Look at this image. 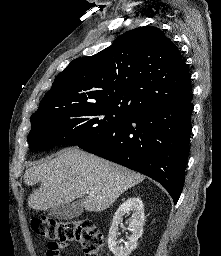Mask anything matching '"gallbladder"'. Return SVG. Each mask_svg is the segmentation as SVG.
Here are the masks:
<instances>
[{"mask_svg":"<svg viewBox=\"0 0 221 256\" xmlns=\"http://www.w3.org/2000/svg\"><path fill=\"white\" fill-rule=\"evenodd\" d=\"M83 212L81 200H76L68 204H60L49 210V215L59 220H70L79 217Z\"/></svg>","mask_w":221,"mask_h":256,"instance_id":"1","label":"gallbladder"}]
</instances>
